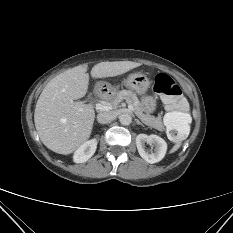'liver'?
Segmentation results:
<instances>
[{
	"label": "liver",
	"instance_id": "1",
	"mask_svg": "<svg viewBox=\"0 0 233 233\" xmlns=\"http://www.w3.org/2000/svg\"><path fill=\"white\" fill-rule=\"evenodd\" d=\"M131 61L101 62L91 70L92 78L114 77L140 66ZM88 65L68 69L54 77L40 94L34 122L42 143L59 154H71L89 139L94 109L78 100L89 86Z\"/></svg>",
	"mask_w": 233,
	"mask_h": 233
}]
</instances>
